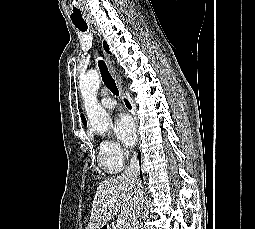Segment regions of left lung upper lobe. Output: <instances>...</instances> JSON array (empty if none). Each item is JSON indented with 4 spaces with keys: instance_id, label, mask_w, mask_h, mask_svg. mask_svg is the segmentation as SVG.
<instances>
[{
    "instance_id": "obj_1",
    "label": "left lung upper lobe",
    "mask_w": 255,
    "mask_h": 229,
    "mask_svg": "<svg viewBox=\"0 0 255 229\" xmlns=\"http://www.w3.org/2000/svg\"><path fill=\"white\" fill-rule=\"evenodd\" d=\"M104 48L106 49V51L109 53V47L106 46V43L104 42Z\"/></svg>"
}]
</instances>
